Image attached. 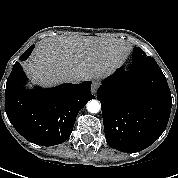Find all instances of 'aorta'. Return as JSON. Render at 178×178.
Instances as JSON below:
<instances>
[{"label": "aorta", "instance_id": "1", "mask_svg": "<svg viewBox=\"0 0 178 178\" xmlns=\"http://www.w3.org/2000/svg\"><path fill=\"white\" fill-rule=\"evenodd\" d=\"M87 110L90 113H98L100 110V103L97 100H91L87 104Z\"/></svg>", "mask_w": 178, "mask_h": 178}]
</instances>
